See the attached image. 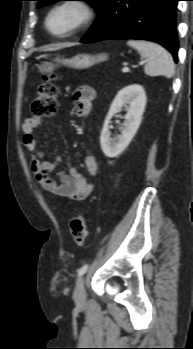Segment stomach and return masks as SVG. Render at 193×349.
<instances>
[{
	"label": "stomach",
	"instance_id": "0dacf381",
	"mask_svg": "<svg viewBox=\"0 0 193 349\" xmlns=\"http://www.w3.org/2000/svg\"><path fill=\"white\" fill-rule=\"evenodd\" d=\"M107 59L106 54L90 55V54H77L71 58L57 59L56 63L50 61H43L40 64H36V71L41 75L48 74L52 72L57 66L63 65L65 67H71L74 69H87L93 65L103 62Z\"/></svg>",
	"mask_w": 193,
	"mask_h": 349
}]
</instances>
